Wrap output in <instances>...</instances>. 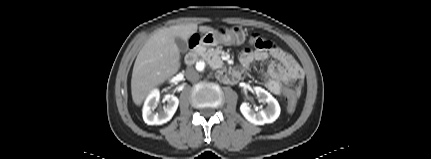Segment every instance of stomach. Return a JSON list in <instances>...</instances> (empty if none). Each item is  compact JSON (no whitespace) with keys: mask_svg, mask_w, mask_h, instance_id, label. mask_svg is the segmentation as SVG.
I'll return each mask as SVG.
<instances>
[{"mask_svg":"<svg viewBox=\"0 0 431 159\" xmlns=\"http://www.w3.org/2000/svg\"><path fill=\"white\" fill-rule=\"evenodd\" d=\"M245 41V33L240 26H234L231 29L219 28L213 32H208L202 37V43L206 46H215L223 44L241 45Z\"/></svg>","mask_w":431,"mask_h":159,"instance_id":"1","label":"stomach"}]
</instances>
